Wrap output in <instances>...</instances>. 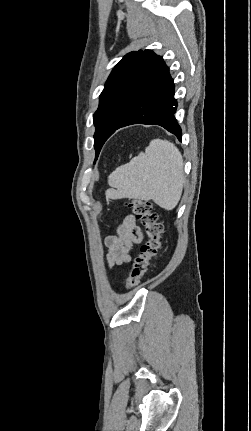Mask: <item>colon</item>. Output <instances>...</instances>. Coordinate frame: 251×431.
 I'll return each instance as SVG.
<instances>
[{
	"label": "colon",
	"mask_w": 251,
	"mask_h": 431,
	"mask_svg": "<svg viewBox=\"0 0 251 431\" xmlns=\"http://www.w3.org/2000/svg\"><path fill=\"white\" fill-rule=\"evenodd\" d=\"M126 206L131 208L148 236V240L141 246L140 252L133 261L132 269L127 279V289L133 290L139 286L151 260L156 257L161 248L163 226L151 202L133 199L127 202Z\"/></svg>",
	"instance_id": "obj_1"
}]
</instances>
